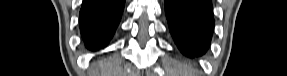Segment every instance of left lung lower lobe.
I'll return each mask as SVG.
<instances>
[{"label":"left lung lower lobe","instance_id":"obj_1","mask_svg":"<svg viewBox=\"0 0 287 76\" xmlns=\"http://www.w3.org/2000/svg\"><path fill=\"white\" fill-rule=\"evenodd\" d=\"M165 13L180 51L189 58L203 55L214 27L211 0H165Z\"/></svg>","mask_w":287,"mask_h":76}]
</instances>
